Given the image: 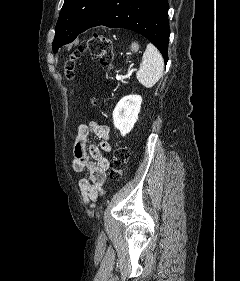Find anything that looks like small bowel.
Segmentation results:
<instances>
[{
  "label": "small bowel",
  "mask_w": 240,
  "mask_h": 281,
  "mask_svg": "<svg viewBox=\"0 0 240 281\" xmlns=\"http://www.w3.org/2000/svg\"><path fill=\"white\" fill-rule=\"evenodd\" d=\"M94 134L100 139L98 145L88 144V137ZM112 149L110 129L107 125L90 121L80 124L73 137L72 168L75 172H86L79 180V187L85 202L94 207L97 200L104 195L103 184L109 161L103 152Z\"/></svg>",
  "instance_id": "obj_1"
}]
</instances>
